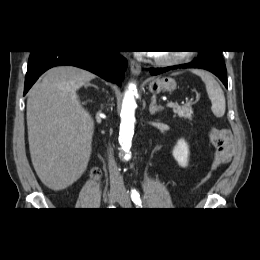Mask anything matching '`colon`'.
Masks as SVG:
<instances>
[{"label":"colon","instance_id":"1","mask_svg":"<svg viewBox=\"0 0 260 260\" xmlns=\"http://www.w3.org/2000/svg\"><path fill=\"white\" fill-rule=\"evenodd\" d=\"M99 174V171L97 170V169H95L94 171H93V175L94 176H97Z\"/></svg>","mask_w":260,"mask_h":260}]
</instances>
